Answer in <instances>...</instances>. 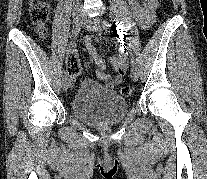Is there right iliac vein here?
<instances>
[{
    "label": "right iliac vein",
    "instance_id": "right-iliac-vein-1",
    "mask_svg": "<svg viewBox=\"0 0 207 179\" xmlns=\"http://www.w3.org/2000/svg\"><path fill=\"white\" fill-rule=\"evenodd\" d=\"M72 18H73V23L74 25H80L81 23V20H82V14L80 12H73L72 14ZM71 83L70 81L68 80L67 77H64L63 78V82H62V88L63 90H67L69 87H70Z\"/></svg>",
    "mask_w": 207,
    "mask_h": 179
}]
</instances>
